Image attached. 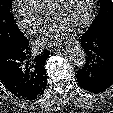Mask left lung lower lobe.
<instances>
[{"label":"left lung lower lobe","mask_w":113,"mask_h":113,"mask_svg":"<svg viewBox=\"0 0 113 113\" xmlns=\"http://www.w3.org/2000/svg\"><path fill=\"white\" fill-rule=\"evenodd\" d=\"M81 46L86 52V62L77 71L80 87L98 93L113 84V25L95 33L85 32L81 36Z\"/></svg>","instance_id":"obj_1"}]
</instances>
